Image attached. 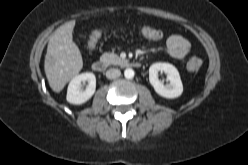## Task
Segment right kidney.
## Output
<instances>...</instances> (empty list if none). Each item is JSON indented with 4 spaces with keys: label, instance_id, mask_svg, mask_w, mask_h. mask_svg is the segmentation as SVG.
<instances>
[{
    "label": "right kidney",
    "instance_id": "1",
    "mask_svg": "<svg viewBox=\"0 0 248 165\" xmlns=\"http://www.w3.org/2000/svg\"><path fill=\"white\" fill-rule=\"evenodd\" d=\"M88 82L84 91L81 89V83ZM96 90V78L91 72L82 73L75 76L69 83L66 99L69 103L80 105L88 101Z\"/></svg>",
    "mask_w": 248,
    "mask_h": 165
}]
</instances>
